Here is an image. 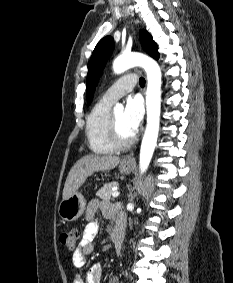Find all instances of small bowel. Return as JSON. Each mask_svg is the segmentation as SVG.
I'll use <instances>...</instances> for the list:
<instances>
[{
    "label": "small bowel",
    "instance_id": "1",
    "mask_svg": "<svg viewBox=\"0 0 233 283\" xmlns=\"http://www.w3.org/2000/svg\"><path fill=\"white\" fill-rule=\"evenodd\" d=\"M98 211L107 217L112 218L115 215L116 209L110 204L93 199L89 202L86 208L87 224L83 231L82 239L73 253V265L76 269H81L86 263V257L95 249V238L99 233V224L94 217ZM118 223L123 224V218L118 220ZM102 266L99 263L93 264L88 272L87 278L84 279L81 275H76L72 283H101ZM108 283H119L116 277H111Z\"/></svg>",
    "mask_w": 233,
    "mask_h": 283
}]
</instances>
